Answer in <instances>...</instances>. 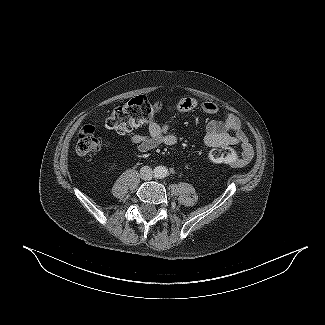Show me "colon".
<instances>
[{
  "instance_id": "5ec220e1",
  "label": "colon",
  "mask_w": 325,
  "mask_h": 325,
  "mask_svg": "<svg viewBox=\"0 0 325 325\" xmlns=\"http://www.w3.org/2000/svg\"><path fill=\"white\" fill-rule=\"evenodd\" d=\"M161 112V104L152 102L145 95H140L115 107L106 120V126L110 130L124 134L134 127L156 122ZM101 148L102 143L95 134V127L90 124L83 126L78 133L77 153L92 154ZM208 157L215 164L236 165L239 161L235 150L228 145L213 147Z\"/></svg>"
}]
</instances>
